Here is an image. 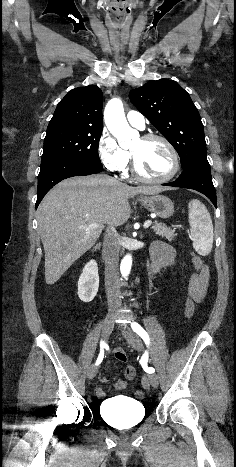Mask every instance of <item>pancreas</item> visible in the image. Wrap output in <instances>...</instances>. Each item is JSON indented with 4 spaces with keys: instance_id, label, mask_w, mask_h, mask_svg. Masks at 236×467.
Returning a JSON list of instances; mask_svg holds the SVG:
<instances>
[{
    "instance_id": "1",
    "label": "pancreas",
    "mask_w": 236,
    "mask_h": 467,
    "mask_svg": "<svg viewBox=\"0 0 236 467\" xmlns=\"http://www.w3.org/2000/svg\"><path fill=\"white\" fill-rule=\"evenodd\" d=\"M152 229L161 236L162 238H166L168 241H172L174 237L177 235L174 233V230L168 228L163 223L155 222L152 226Z\"/></svg>"
}]
</instances>
